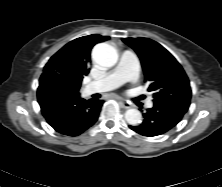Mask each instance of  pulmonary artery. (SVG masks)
I'll use <instances>...</instances> for the list:
<instances>
[{"mask_svg": "<svg viewBox=\"0 0 222 187\" xmlns=\"http://www.w3.org/2000/svg\"><path fill=\"white\" fill-rule=\"evenodd\" d=\"M138 77V63L133 52L126 50L122 52L118 65L109 71L103 77L88 83L83 88V93L89 95L92 93L111 91L125 82L135 81ZM152 100L146 102L147 107H152Z\"/></svg>", "mask_w": 222, "mask_h": 187, "instance_id": "obj_1", "label": "pulmonary artery"}]
</instances>
